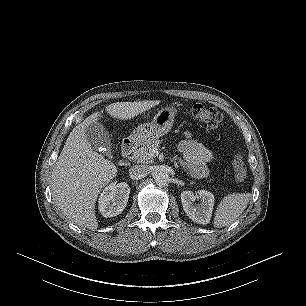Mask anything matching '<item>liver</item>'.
I'll use <instances>...</instances> for the list:
<instances>
[{"label":"liver","mask_w":306,"mask_h":306,"mask_svg":"<svg viewBox=\"0 0 306 306\" xmlns=\"http://www.w3.org/2000/svg\"><path fill=\"white\" fill-rule=\"evenodd\" d=\"M160 103L155 101L116 102L106 107L113 118L128 120ZM102 118L88 116L68 136L51 175L53 200L71 222L89 230L98 228L95 203L100 191L117 175L116 166L94 151L85 129Z\"/></svg>","instance_id":"1"}]
</instances>
